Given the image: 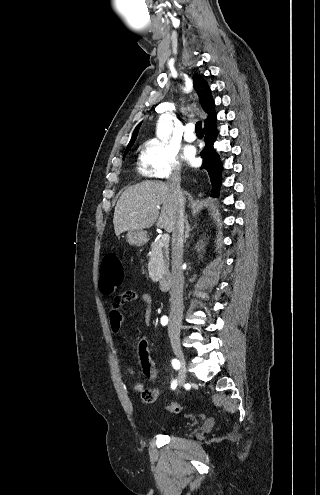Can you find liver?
<instances>
[{
  "mask_svg": "<svg viewBox=\"0 0 320 495\" xmlns=\"http://www.w3.org/2000/svg\"><path fill=\"white\" fill-rule=\"evenodd\" d=\"M185 200L184 197V202ZM176 208L177 203L168 183L143 181L128 187L115 206L113 218L115 234L119 236L132 229H147L156 221L157 227L172 232Z\"/></svg>",
  "mask_w": 320,
  "mask_h": 495,
  "instance_id": "obj_1",
  "label": "liver"
}]
</instances>
